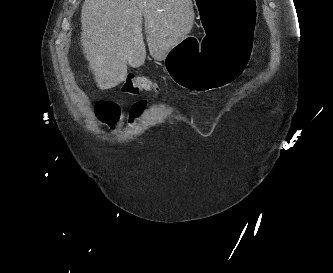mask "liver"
Listing matches in <instances>:
<instances>
[{
	"instance_id": "6515ba94",
	"label": "liver",
	"mask_w": 333,
	"mask_h": 273,
	"mask_svg": "<svg viewBox=\"0 0 333 273\" xmlns=\"http://www.w3.org/2000/svg\"><path fill=\"white\" fill-rule=\"evenodd\" d=\"M143 17L150 55L163 61L192 29V0L84 1L81 44L99 89L124 81L127 65L144 64Z\"/></svg>"
}]
</instances>
